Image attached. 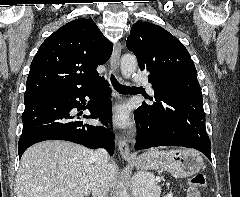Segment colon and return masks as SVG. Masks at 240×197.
I'll return each instance as SVG.
<instances>
[{"label": "colon", "mask_w": 240, "mask_h": 197, "mask_svg": "<svg viewBox=\"0 0 240 197\" xmlns=\"http://www.w3.org/2000/svg\"><path fill=\"white\" fill-rule=\"evenodd\" d=\"M188 183L190 188H194L197 191V188H201L206 185V177L202 173H195L188 178Z\"/></svg>", "instance_id": "1"}]
</instances>
